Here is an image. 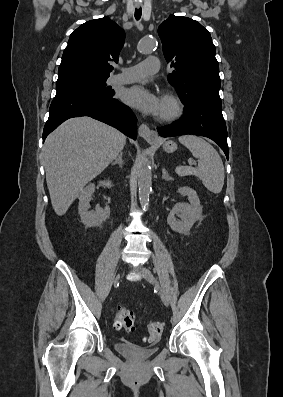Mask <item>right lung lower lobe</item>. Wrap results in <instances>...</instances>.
<instances>
[{
    "label": "right lung lower lobe",
    "mask_w": 283,
    "mask_h": 397,
    "mask_svg": "<svg viewBox=\"0 0 283 397\" xmlns=\"http://www.w3.org/2000/svg\"><path fill=\"white\" fill-rule=\"evenodd\" d=\"M49 118L43 131V141L65 120L90 116L111 125L132 139L137 137V119L132 111L113 95L87 91H71L54 97Z\"/></svg>",
    "instance_id": "1"
}]
</instances>
